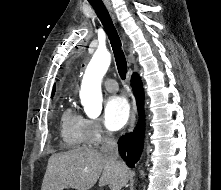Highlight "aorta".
I'll list each match as a JSON object with an SVG mask.
<instances>
[{"mask_svg":"<svg viewBox=\"0 0 221 190\" xmlns=\"http://www.w3.org/2000/svg\"><path fill=\"white\" fill-rule=\"evenodd\" d=\"M111 63L107 50H97L88 64L80 90L81 103L90 118H96L102 110L101 82Z\"/></svg>","mask_w":221,"mask_h":190,"instance_id":"762f6f07","label":"aorta"}]
</instances>
